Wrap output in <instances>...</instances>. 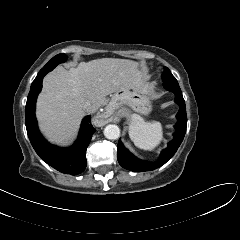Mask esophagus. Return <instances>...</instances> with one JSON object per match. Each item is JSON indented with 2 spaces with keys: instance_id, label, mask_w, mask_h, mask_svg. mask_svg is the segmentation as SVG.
I'll return each mask as SVG.
<instances>
[{
  "instance_id": "34e87169",
  "label": "esophagus",
  "mask_w": 240,
  "mask_h": 240,
  "mask_svg": "<svg viewBox=\"0 0 240 240\" xmlns=\"http://www.w3.org/2000/svg\"><path fill=\"white\" fill-rule=\"evenodd\" d=\"M104 114L105 115L103 117H108L110 115L109 112H105Z\"/></svg>"
}]
</instances>
